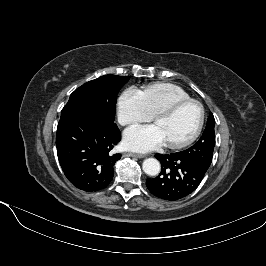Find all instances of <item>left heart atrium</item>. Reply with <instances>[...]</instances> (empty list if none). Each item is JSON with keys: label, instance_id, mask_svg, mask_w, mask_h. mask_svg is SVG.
<instances>
[{"label": "left heart atrium", "instance_id": "left-heart-atrium-1", "mask_svg": "<svg viewBox=\"0 0 266 266\" xmlns=\"http://www.w3.org/2000/svg\"><path fill=\"white\" fill-rule=\"evenodd\" d=\"M127 148L136 151L156 149L166 142L156 125L131 127L124 133Z\"/></svg>", "mask_w": 266, "mask_h": 266}]
</instances>
